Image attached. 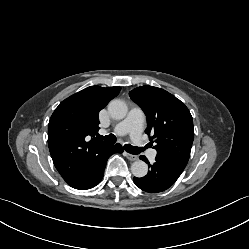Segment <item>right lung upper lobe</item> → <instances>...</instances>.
Listing matches in <instances>:
<instances>
[{
	"mask_svg": "<svg viewBox=\"0 0 249 249\" xmlns=\"http://www.w3.org/2000/svg\"><path fill=\"white\" fill-rule=\"evenodd\" d=\"M120 87L91 86L62 101L48 125V146L53 163L72 183L97 149L106 145L97 140L99 111L120 92Z\"/></svg>",
	"mask_w": 249,
	"mask_h": 249,
	"instance_id": "right-lung-upper-lobe-1",
	"label": "right lung upper lobe"
}]
</instances>
